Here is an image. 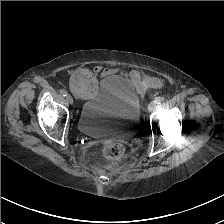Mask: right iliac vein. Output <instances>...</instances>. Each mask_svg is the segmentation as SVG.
<instances>
[{"label": "right iliac vein", "mask_w": 224, "mask_h": 224, "mask_svg": "<svg viewBox=\"0 0 224 224\" xmlns=\"http://www.w3.org/2000/svg\"><path fill=\"white\" fill-rule=\"evenodd\" d=\"M66 100H67V102L70 103V104L73 103V98H72L71 95H67V96H66Z\"/></svg>", "instance_id": "obj_1"}]
</instances>
